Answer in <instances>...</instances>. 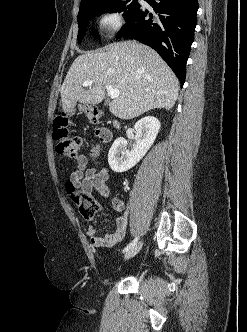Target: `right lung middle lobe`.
I'll return each mask as SVG.
<instances>
[{"label": "right lung middle lobe", "mask_w": 247, "mask_h": 332, "mask_svg": "<svg viewBox=\"0 0 247 332\" xmlns=\"http://www.w3.org/2000/svg\"><path fill=\"white\" fill-rule=\"evenodd\" d=\"M140 9V4L138 0H104L96 4L88 6L84 9H80L77 17L79 32H78V41H82L87 24L90 19L100 16L106 12L115 13L123 12L125 19L130 18Z\"/></svg>", "instance_id": "obj_1"}]
</instances>
